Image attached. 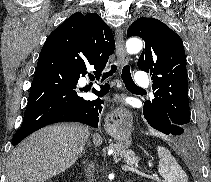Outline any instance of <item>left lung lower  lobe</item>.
I'll return each mask as SVG.
<instances>
[{
    "label": "left lung lower lobe",
    "mask_w": 211,
    "mask_h": 182,
    "mask_svg": "<svg viewBox=\"0 0 211 182\" xmlns=\"http://www.w3.org/2000/svg\"><path fill=\"white\" fill-rule=\"evenodd\" d=\"M157 128L158 129H156V130L161 131L166 135H169V134L180 135L179 141L183 145H188L190 143V137H189L188 130H187V128H185L183 126L173 124L169 120L163 119L162 122L159 123Z\"/></svg>",
    "instance_id": "1"
}]
</instances>
